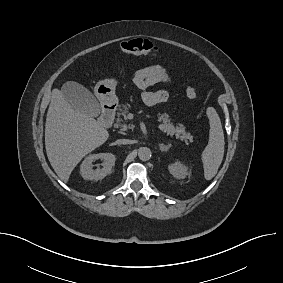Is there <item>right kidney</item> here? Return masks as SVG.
I'll list each match as a JSON object with an SVG mask.
<instances>
[{
	"instance_id": "obj_1",
	"label": "right kidney",
	"mask_w": 283,
	"mask_h": 283,
	"mask_svg": "<svg viewBox=\"0 0 283 283\" xmlns=\"http://www.w3.org/2000/svg\"><path fill=\"white\" fill-rule=\"evenodd\" d=\"M101 159L103 161L102 168L92 169V163ZM116 157L112 153L91 154L87 156L80 166V173L85 180H102L111 173L112 167L115 165Z\"/></svg>"
}]
</instances>
